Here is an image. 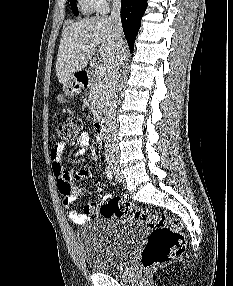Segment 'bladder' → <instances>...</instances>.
Segmentation results:
<instances>
[{"label": "bladder", "instance_id": "obj_1", "mask_svg": "<svg viewBox=\"0 0 233 286\" xmlns=\"http://www.w3.org/2000/svg\"><path fill=\"white\" fill-rule=\"evenodd\" d=\"M146 225L134 218L89 223L77 232L81 256L93 272L123 269L142 240Z\"/></svg>", "mask_w": 233, "mask_h": 286}]
</instances>
